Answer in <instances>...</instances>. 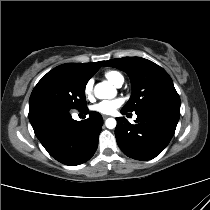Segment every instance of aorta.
I'll list each match as a JSON object with an SVG mask.
<instances>
[{
    "label": "aorta",
    "mask_w": 210,
    "mask_h": 210,
    "mask_svg": "<svg viewBox=\"0 0 210 210\" xmlns=\"http://www.w3.org/2000/svg\"><path fill=\"white\" fill-rule=\"evenodd\" d=\"M95 96L99 99H110L115 97L116 89L112 87L108 82H101L95 86ZM116 120L114 118H108L105 125L108 129H114L116 127Z\"/></svg>",
    "instance_id": "obj_1"
}]
</instances>
